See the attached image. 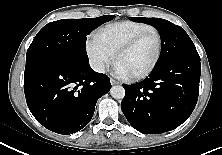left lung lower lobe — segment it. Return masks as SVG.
I'll use <instances>...</instances> for the list:
<instances>
[{
    "instance_id": "0a47b994",
    "label": "left lung lower lobe",
    "mask_w": 222,
    "mask_h": 155,
    "mask_svg": "<svg viewBox=\"0 0 222 155\" xmlns=\"http://www.w3.org/2000/svg\"><path fill=\"white\" fill-rule=\"evenodd\" d=\"M200 72V60L178 58L155 66L140 83L123 85L121 109L126 119L144 134L177 128L195 108Z\"/></svg>"
}]
</instances>
